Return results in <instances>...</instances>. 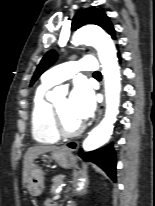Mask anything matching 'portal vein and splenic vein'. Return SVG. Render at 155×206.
Listing matches in <instances>:
<instances>
[{
	"label": "portal vein and splenic vein",
	"mask_w": 155,
	"mask_h": 206,
	"mask_svg": "<svg viewBox=\"0 0 155 206\" xmlns=\"http://www.w3.org/2000/svg\"><path fill=\"white\" fill-rule=\"evenodd\" d=\"M60 198V194L59 193H56V195L53 197L54 200H57Z\"/></svg>",
	"instance_id": "18ae733b"
}]
</instances>
